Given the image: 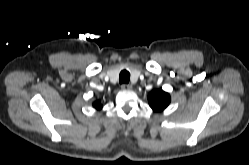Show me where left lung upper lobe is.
I'll return each instance as SVG.
<instances>
[{
	"mask_svg": "<svg viewBox=\"0 0 249 165\" xmlns=\"http://www.w3.org/2000/svg\"><path fill=\"white\" fill-rule=\"evenodd\" d=\"M148 101L150 107L156 111L164 110L170 103L171 98L167 92H164L162 89L153 90L148 95Z\"/></svg>",
	"mask_w": 249,
	"mask_h": 165,
	"instance_id": "5c2ea615",
	"label": "left lung upper lobe"
}]
</instances>
